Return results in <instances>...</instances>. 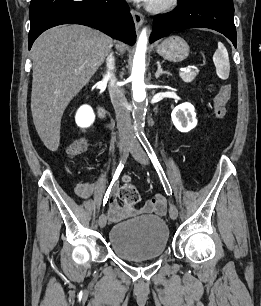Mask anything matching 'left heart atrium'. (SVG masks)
Here are the masks:
<instances>
[{"label": "left heart atrium", "mask_w": 261, "mask_h": 306, "mask_svg": "<svg viewBox=\"0 0 261 306\" xmlns=\"http://www.w3.org/2000/svg\"><path fill=\"white\" fill-rule=\"evenodd\" d=\"M135 1H151V0H135Z\"/></svg>", "instance_id": "obj_1"}]
</instances>
